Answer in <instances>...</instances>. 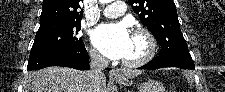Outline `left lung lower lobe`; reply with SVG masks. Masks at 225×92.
Listing matches in <instances>:
<instances>
[{"mask_svg": "<svg viewBox=\"0 0 225 92\" xmlns=\"http://www.w3.org/2000/svg\"><path fill=\"white\" fill-rule=\"evenodd\" d=\"M164 67H178L182 69H195L191 56L155 57L139 69L154 70Z\"/></svg>", "mask_w": 225, "mask_h": 92, "instance_id": "0a47b994", "label": "left lung lower lobe"}]
</instances>
